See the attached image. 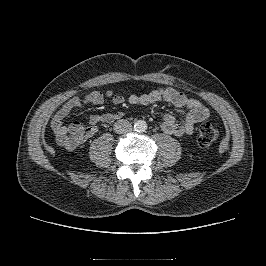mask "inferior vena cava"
<instances>
[{
  "mask_svg": "<svg viewBox=\"0 0 266 266\" xmlns=\"http://www.w3.org/2000/svg\"><path fill=\"white\" fill-rule=\"evenodd\" d=\"M132 129V125L129 121L121 119L115 122L114 131L118 134L127 133Z\"/></svg>",
  "mask_w": 266,
  "mask_h": 266,
  "instance_id": "inferior-vena-cava-1",
  "label": "inferior vena cava"
}]
</instances>
